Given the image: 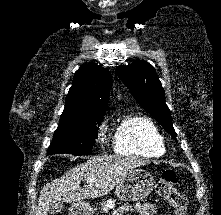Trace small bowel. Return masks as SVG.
<instances>
[{"label":"small bowel","mask_w":221,"mask_h":215,"mask_svg":"<svg viewBox=\"0 0 221 215\" xmlns=\"http://www.w3.org/2000/svg\"><path fill=\"white\" fill-rule=\"evenodd\" d=\"M132 211L140 215H156L157 207L151 203H137L135 205H125L114 211L113 215H126Z\"/></svg>","instance_id":"obj_1"}]
</instances>
